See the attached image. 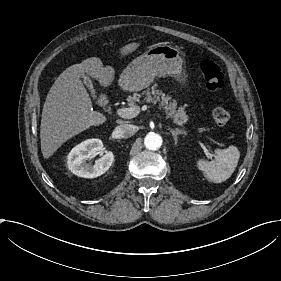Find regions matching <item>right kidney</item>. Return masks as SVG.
Wrapping results in <instances>:
<instances>
[{
	"instance_id": "right-kidney-1",
	"label": "right kidney",
	"mask_w": 281,
	"mask_h": 281,
	"mask_svg": "<svg viewBox=\"0 0 281 281\" xmlns=\"http://www.w3.org/2000/svg\"><path fill=\"white\" fill-rule=\"evenodd\" d=\"M103 151L104 147L100 139H88L76 145L67 156L69 170L73 174L84 178H95L104 174L114 161L112 152H106L95 161L94 165L86 163L89 158L101 154Z\"/></svg>"
}]
</instances>
